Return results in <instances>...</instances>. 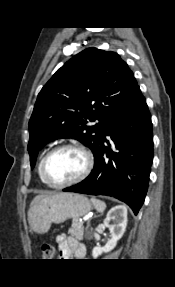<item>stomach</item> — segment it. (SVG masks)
<instances>
[{
	"label": "stomach",
	"instance_id": "stomach-1",
	"mask_svg": "<svg viewBox=\"0 0 175 287\" xmlns=\"http://www.w3.org/2000/svg\"><path fill=\"white\" fill-rule=\"evenodd\" d=\"M92 209L89 199L77 193H57L44 197L28 212L30 229L38 234L47 233L51 224H60L67 219H77Z\"/></svg>",
	"mask_w": 175,
	"mask_h": 287
}]
</instances>
